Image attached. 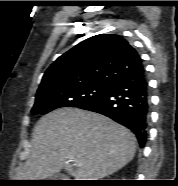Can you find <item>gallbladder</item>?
Listing matches in <instances>:
<instances>
[{
    "label": "gallbladder",
    "instance_id": "obj_1",
    "mask_svg": "<svg viewBox=\"0 0 178 186\" xmlns=\"http://www.w3.org/2000/svg\"><path fill=\"white\" fill-rule=\"evenodd\" d=\"M64 177H65V175L63 173H56V174L51 176V179L59 180V179L64 178Z\"/></svg>",
    "mask_w": 178,
    "mask_h": 186
}]
</instances>
